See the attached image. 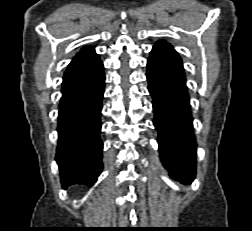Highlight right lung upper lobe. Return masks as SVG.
<instances>
[{"label":"right lung upper lobe","instance_id":"right-lung-upper-lobe-1","mask_svg":"<svg viewBox=\"0 0 252 231\" xmlns=\"http://www.w3.org/2000/svg\"><path fill=\"white\" fill-rule=\"evenodd\" d=\"M103 63L94 47H83L68 65L61 91L77 87L103 73Z\"/></svg>","mask_w":252,"mask_h":231}]
</instances>
